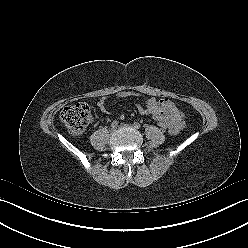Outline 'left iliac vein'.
Masks as SVG:
<instances>
[{"label": "left iliac vein", "instance_id": "4c4485c4", "mask_svg": "<svg viewBox=\"0 0 248 248\" xmlns=\"http://www.w3.org/2000/svg\"><path fill=\"white\" fill-rule=\"evenodd\" d=\"M120 127H132V128H135L133 125H130V124H121Z\"/></svg>", "mask_w": 248, "mask_h": 248}]
</instances>
